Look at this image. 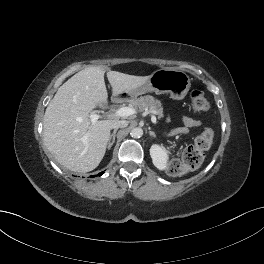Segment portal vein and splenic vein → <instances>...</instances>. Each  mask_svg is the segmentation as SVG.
Segmentation results:
<instances>
[{
	"label": "portal vein and splenic vein",
	"mask_w": 264,
	"mask_h": 264,
	"mask_svg": "<svg viewBox=\"0 0 264 264\" xmlns=\"http://www.w3.org/2000/svg\"><path fill=\"white\" fill-rule=\"evenodd\" d=\"M133 114H135V109L134 108H132V107H121V108L117 109L112 114V116H114V117H127V116H130V115H133ZM99 118H101V116L99 114L92 113L90 115V119H91V123L92 124L96 123ZM151 121H152L153 124H156L157 123L156 117L152 116Z\"/></svg>",
	"instance_id": "1"
}]
</instances>
